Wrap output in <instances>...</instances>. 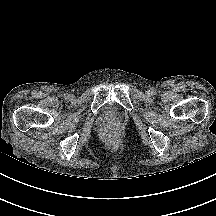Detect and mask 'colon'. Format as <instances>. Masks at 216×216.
I'll use <instances>...</instances> for the list:
<instances>
[{"instance_id": "obj_1", "label": "colon", "mask_w": 216, "mask_h": 216, "mask_svg": "<svg viewBox=\"0 0 216 216\" xmlns=\"http://www.w3.org/2000/svg\"><path fill=\"white\" fill-rule=\"evenodd\" d=\"M118 138H119V137H118L117 135L114 134V135H111V136H110V139H109V140H110L111 143H116V142L118 141Z\"/></svg>"}]
</instances>
